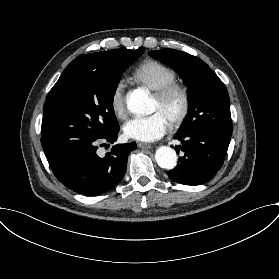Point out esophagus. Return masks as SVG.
<instances>
[{"label":"esophagus","mask_w":279,"mask_h":279,"mask_svg":"<svg viewBox=\"0 0 279 279\" xmlns=\"http://www.w3.org/2000/svg\"><path fill=\"white\" fill-rule=\"evenodd\" d=\"M137 146H138L139 148H142V149H150V148H152L151 144L146 143V142H139V143L137 144Z\"/></svg>","instance_id":"34e87169"}]
</instances>
